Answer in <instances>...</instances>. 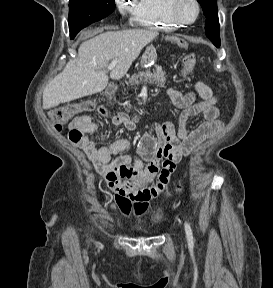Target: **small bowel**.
Listing matches in <instances>:
<instances>
[{
	"mask_svg": "<svg viewBox=\"0 0 273 288\" xmlns=\"http://www.w3.org/2000/svg\"><path fill=\"white\" fill-rule=\"evenodd\" d=\"M195 90L200 97L199 100H196L192 91L182 93L168 89L167 94L172 103L181 109L177 125H156L152 132L142 136L137 145L136 155L117 156L131 148V142L127 139H118L108 146L96 145L87 136L99 128L90 116L76 117L71 123L70 141L86 154L102 177L103 186L113 194L112 207L123 215L144 214L150 200L161 194L179 163L199 144L223 129L224 123L220 119L221 111L218 107L219 99L204 82L198 81ZM96 110L101 116L110 118L116 127L135 129L136 117L131 118L125 112H118L110 117L107 110L101 106ZM198 115L205 121L190 131L189 123ZM73 130H79L82 136L74 138ZM154 177H157L154 186H143Z\"/></svg>",
	"mask_w": 273,
	"mask_h": 288,
	"instance_id": "c3829d8e",
	"label": "small bowel"
}]
</instances>
